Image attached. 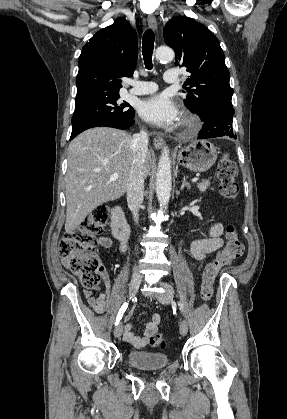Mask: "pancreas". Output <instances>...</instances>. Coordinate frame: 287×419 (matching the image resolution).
<instances>
[{"mask_svg": "<svg viewBox=\"0 0 287 419\" xmlns=\"http://www.w3.org/2000/svg\"><path fill=\"white\" fill-rule=\"evenodd\" d=\"M210 186V181L209 180H203L201 183L197 184L198 189L200 190V192H205Z\"/></svg>", "mask_w": 287, "mask_h": 419, "instance_id": "pancreas-1", "label": "pancreas"}]
</instances>
